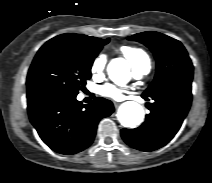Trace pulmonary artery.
Wrapping results in <instances>:
<instances>
[{
	"mask_svg": "<svg viewBox=\"0 0 212 183\" xmlns=\"http://www.w3.org/2000/svg\"><path fill=\"white\" fill-rule=\"evenodd\" d=\"M150 71V68L148 67H142V68H138V69H134V76L137 78H140L146 74H148Z\"/></svg>",
	"mask_w": 212,
	"mask_h": 183,
	"instance_id": "pulmonary-artery-1",
	"label": "pulmonary artery"
}]
</instances>
